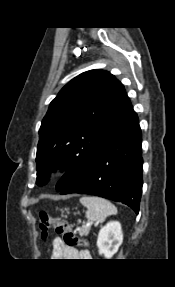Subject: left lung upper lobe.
<instances>
[{
    "mask_svg": "<svg viewBox=\"0 0 175 287\" xmlns=\"http://www.w3.org/2000/svg\"><path fill=\"white\" fill-rule=\"evenodd\" d=\"M123 84L104 70L73 78L50 103L39 130L37 181L49 180L50 168L66 169L56 185L62 189L77 180L99 147L134 114Z\"/></svg>",
    "mask_w": 175,
    "mask_h": 287,
    "instance_id": "1",
    "label": "left lung upper lobe"
}]
</instances>
